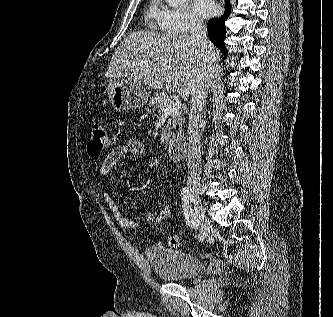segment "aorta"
<instances>
[{
    "instance_id": "obj_1",
    "label": "aorta",
    "mask_w": 333,
    "mask_h": 317,
    "mask_svg": "<svg viewBox=\"0 0 333 317\" xmlns=\"http://www.w3.org/2000/svg\"><path fill=\"white\" fill-rule=\"evenodd\" d=\"M187 0H166L167 4L172 7L182 6Z\"/></svg>"
}]
</instances>
